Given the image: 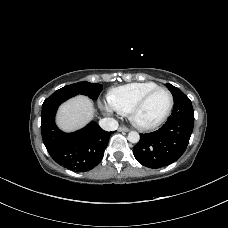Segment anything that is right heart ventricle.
I'll return each instance as SVG.
<instances>
[{"label":"right heart ventricle","mask_w":228,"mask_h":228,"mask_svg":"<svg viewBox=\"0 0 228 228\" xmlns=\"http://www.w3.org/2000/svg\"><path fill=\"white\" fill-rule=\"evenodd\" d=\"M156 87L159 85L151 81L126 84L112 89L108 93V103L116 112L128 114L140 98Z\"/></svg>","instance_id":"right-heart-ventricle-1"}]
</instances>
